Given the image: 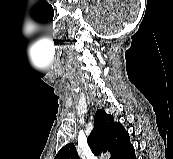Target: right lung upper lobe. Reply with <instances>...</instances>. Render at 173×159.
<instances>
[{
	"label": "right lung upper lobe",
	"instance_id": "obj_1",
	"mask_svg": "<svg viewBox=\"0 0 173 159\" xmlns=\"http://www.w3.org/2000/svg\"><path fill=\"white\" fill-rule=\"evenodd\" d=\"M88 144L95 155L110 152V159H124L133 149L129 143V134L121 123L114 122L113 117L103 109L94 116V129L88 137ZM55 159H79L75 145L69 143L59 150Z\"/></svg>",
	"mask_w": 173,
	"mask_h": 159
}]
</instances>
